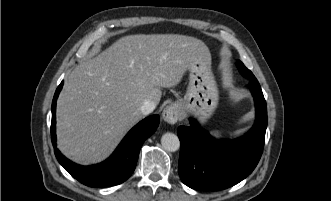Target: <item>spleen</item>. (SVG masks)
I'll use <instances>...</instances> for the list:
<instances>
[{
	"instance_id": "spleen-1",
	"label": "spleen",
	"mask_w": 331,
	"mask_h": 201,
	"mask_svg": "<svg viewBox=\"0 0 331 201\" xmlns=\"http://www.w3.org/2000/svg\"><path fill=\"white\" fill-rule=\"evenodd\" d=\"M211 135L215 137L216 139H219L221 137V132L220 131H212Z\"/></svg>"
}]
</instances>
